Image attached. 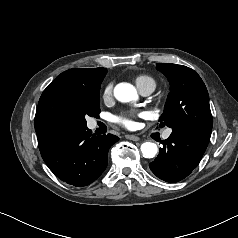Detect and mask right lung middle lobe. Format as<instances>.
Here are the masks:
<instances>
[{"label": "right lung middle lobe", "mask_w": 238, "mask_h": 238, "mask_svg": "<svg viewBox=\"0 0 238 238\" xmlns=\"http://www.w3.org/2000/svg\"><path fill=\"white\" fill-rule=\"evenodd\" d=\"M106 73V68H96L97 84L95 86L74 88L68 92L66 96L68 114L64 120L67 128L85 127V116H98L100 84Z\"/></svg>", "instance_id": "dd1d6c3e"}]
</instances>
